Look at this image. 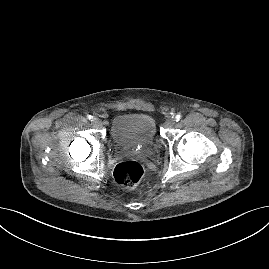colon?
<instances>
[{
    "instance_id": "colon-1",
    "label": "colon",
    "mask_w": 269,
    "mask_h": 269,
    "mask_svg": "<svg viewBox=\"0 0 269 269\" xmlns=\"http://www.w3.org/2000/svg\"><path fill=\"white\" fill-rule=\"evenodd\" d=\"M113 175L117 184L132 189L144 179L145 169L137 161H122L115 166Z\"/></svg>"
}]
</instances>
